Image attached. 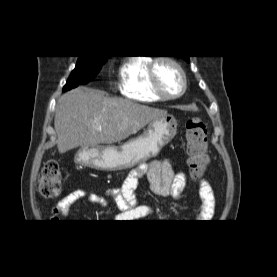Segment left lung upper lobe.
<instances>
[{
    "mask_svg": "<svg viewBox=\"0 0 277 277\" xmlns=\"http://www.w3.org/2000/svg\"><path fill=\"white\" fill-rule=\"evenodd\" d=\"M184 60H186L187 62H189V57L188 56H183L182 57Z\"/></svg>",
    "mask_w": 277,
    "mask_h": 277,
    "instance_id": "5c2ea615",
    "label": "left lung upper lobe"
}]
</instances>
